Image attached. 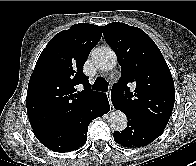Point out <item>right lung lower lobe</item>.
I'll return each mask as SVG.
<instances>
[{
  "instance_id": "98d812e1",
  "label": "right lung lower lobe",
  "mask_w": 196,
  "mask_h": 166,
  "mask_svg": "<svg viewBox=\"0 0 196 166\" xmlns=\"http://www.w3.org/2000/svg\"><path fill=\"white\" fill-rule=\"evenodd\" d=\"M110 109L106 95L87 105L77 119L71 123L34 131L37 139L52 151L65 153L77 150L87 140L90 122Z\"/></svg>"
}]
</instances>
